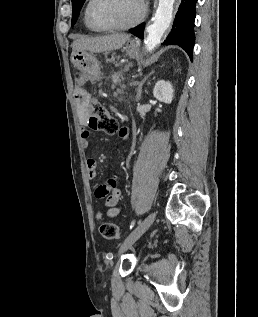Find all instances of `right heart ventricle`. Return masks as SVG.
I'll return each mask as SVG.
<instances>
[{
	"label": "right heart ventricle",
	"mask_w": 258,
	"mask_h": 317,
	"mask_svg": "<svg viewBox=\"0 0 258 317\" xmlns=\"http://www.w3.org/2000/svg\"><path fill=\"white\" fill-rule=\"evenodd\" d=\"M89 2H90V1H89ZM89 2H88L87 5H86L85 14H84L85 25H86L87 29H89L90 31H96V30L89 24V22H88V20H87V17H86V10H87V7H88Z\"/></svg>",
	"instance_id": "1"
}]
</instances>
